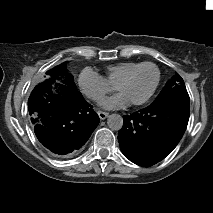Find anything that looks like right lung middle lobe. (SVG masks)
<instances>
[{
  "mask_svg": "<svg viewBox=\"0 0 213 213\" xmlns=\"http://www.w3.org/2000/svg\"><path fill=\"white\" fill-rule=\"evenodd\" d=\"M67 63H68V61L54 67L53 69H51L49 71H47L46 72L47 80L48 79L55 80V79H58L59 76L63 75L67 78L66 83L69 84L72 87H75V84H74V81H73V76L71 74L67 73V70H66V64Z\"/></svg>",
  "mask_w": 213,
  "mask_h": 213,
  "instance_id": "1",
  "label": "right lung middle lobe"
}]
</instances>
